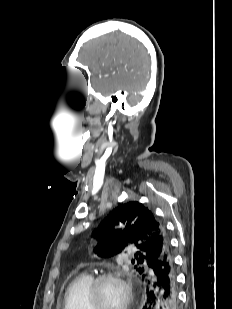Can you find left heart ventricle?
Wrapping results in <instances>:
<instances>
[{
    "label": "left heart ventricle",
    "mask_w": 232,
    "mask_h": 309,
    "mask_svg": "<svg viewBox=\"0 0 232 309\" xmlns=\"http://www.w3.org/2000/svg\"><path fill=\"white\" fill-rule=\"evenodd\" d=\"M126 298V290L118 281H106L100 288V305L102 309H123Z\"/></svg>",
    "instance_id": "1"
}]
</instances>
